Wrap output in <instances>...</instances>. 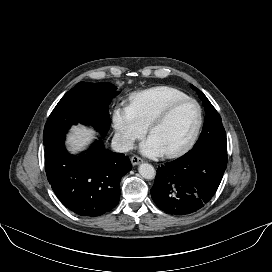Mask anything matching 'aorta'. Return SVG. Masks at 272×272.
Listing matches in <instances>:
<instances>
[{
  "label": "aorta",
  "instance_id": "1",
  "mask_svg": "<svg viewBox=\"0 0 272 272\" xmlns=\"http://www.w3.org/2000/svg\"><path fill=\"white\" fill-rule=\"evenodd\" d=\"M139 173L145 179H153L155 177V169L151 164L142 163L139 166Z\"/></svg>",
  "mask_w": 272,
  "mask_h": 272
}]
</instances>
